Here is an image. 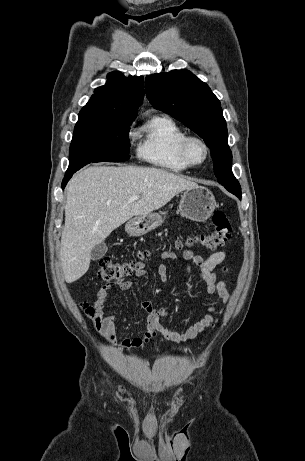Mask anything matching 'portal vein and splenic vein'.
Masks as SVG:
<instances>
[{"mask_svg":"<svg viewBox=\"0 0 305 461\" xmlns=\"http://www.w3.org/2000/svg\"><path fill=\"white\" fill-rule=\"evenodd\" d=\"M140 198V196H137V195H133L130 197L129 201L133 202V201H136Z\"/></svg>","mask_w":305,"mask_h":461,"instance_id":"portal-vein-and-splenic-vein-1","label":"portal vein and splenic vein"}]
</instances>
